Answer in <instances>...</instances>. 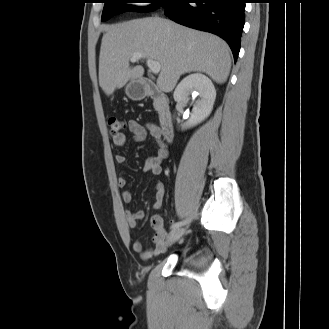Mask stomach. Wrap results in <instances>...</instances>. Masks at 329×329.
<instances>
[{"label":"stomach","mask_w":329,"mask_h":329,"mask_svg":"<svg viewBox=\"0 0 329 329\" xmlns=\"http://www.w3.org/2000/svg\"><path fill=\"white\" fill-rule=\"evenodd\" d=\"M125 93L132 100H142L148 93V86L142 79L133 80L126 85Z\"/></svg>","instance_id":"obj_1"}]
</instances>
